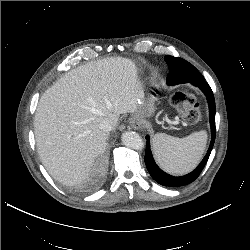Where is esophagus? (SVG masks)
<instances>
[{
    "label": "esophagus",
    "instance_id": "1",
    "mask_svg": "<svg viewBox=\"0 0 250 250\" xmlns=\"http://www.w3.org/2000/svg\"><path fill=\"white\" fill-rule=\"evenodd\" d=\"M129 123H130L131 127L135 130H139L143 126L142 122L135 116L130 118Z\"/></svg>",
    "mask_w": 250,
    "mask_h": 250
}]
</instances>
